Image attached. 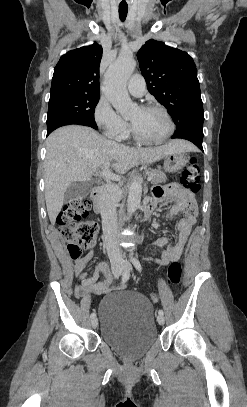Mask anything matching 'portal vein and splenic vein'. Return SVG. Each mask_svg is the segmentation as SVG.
Masks as SVG:
<instances>
[{
	"label": "portal vein and splenic vein",
	"mask_w": 247,
	"mask_h": 407,
	"mask_svg": "<svg viewBox=\"0 0 247 407\" xmlns=\"http://www.w3.org/2000/svg\"><path fill=\"white\" fill-rule=\"evenodd\" d=\"M109 165H110L109 162H105V163L103 164L102 171L100 172V174H101L103 177L107 178V179H111V180H114V181H120V180H121V176L116 175V174L112 173L111 171H109V169H108V168H109ZM147 180L150 181V180H151V176H148Z\"/></svg>",
	"instance_id": "18ae733b"
}]
</instances>
